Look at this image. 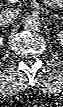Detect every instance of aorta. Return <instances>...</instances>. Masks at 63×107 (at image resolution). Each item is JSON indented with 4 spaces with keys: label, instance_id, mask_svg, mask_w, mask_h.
<instances>
[{
    "label": "aorta",
    "instance_id": "762f6f07",
    "mask_svg": "<svg viewBox=\"0 0 63 107\" xmlns=\"http://www.w3.org/2000/svg\"><path fill=\"white\" fill-rule=\"evenodd\" d=\"M24 28L27 31L36 32L41 29V21L38 16H27L24 21Z\"/></svg>",
    "mask_w": 63,
    "mask_h": 107
}]
</instances>
